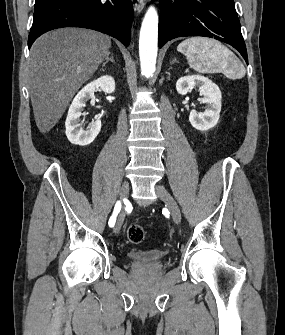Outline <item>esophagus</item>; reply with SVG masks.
Wrapping results in <instances>:
<instances>
[{"label":"esophagus","mask_w":285,"mask_h":335,"mask_svg":"<svg viewBox=\"0 0 285 335\" xmlns=\"http://www.w3.org/2000/svg\"><path fill=\"white\" fill-rule=\"evenodd\" d=\"M145 3L146 0H132L133 7L138 12L143 10Z\"/></svg>","instance_id":"1"}]
</instances>
